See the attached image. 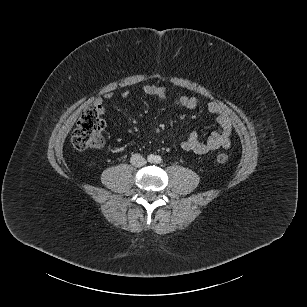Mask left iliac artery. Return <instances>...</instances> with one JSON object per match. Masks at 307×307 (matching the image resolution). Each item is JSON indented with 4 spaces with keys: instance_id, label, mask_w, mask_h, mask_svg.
I'll use <instances>...</instances> for the list:
<instances>
[{
    "instance_id": "44dca946",
    "label": "left iliac artery",
    "mask_w": 307,
    "mask_h": 307,
    "mask_svg": "<svg viewBox=\"0 0 307 307\" xmlns=\"http://www.w3.org/2000/svg\"><path fill=\"white\" fill-rule=\"evenodd\" d=\"M155 162H156L157 164L161 163V162H162V158H161L160 156H156V157H155Z\"/></svg>"
}]
</instances>
